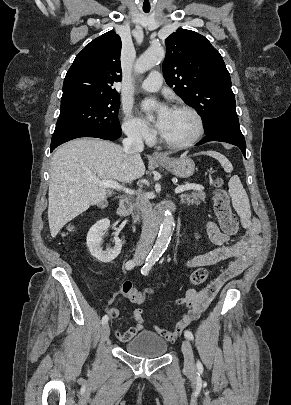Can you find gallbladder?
<instances>
[{
    "label": "gallbladder",
    "mask_w": 291,
    "mask_h": 405,
    "mask_svg": "<svg viewBox=\"0 0 291 405\" xmlns=\"http://www.w3.org/2000/svg\"><path fill=\"white\" fill-rule=\"evenodd\" d=\"M105 205H106V203H100V204H99L100 207H103V206H105Z\"/></svg>",
    "instance_id": "obj_1"
}]
</instances>
